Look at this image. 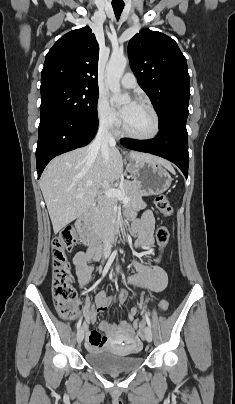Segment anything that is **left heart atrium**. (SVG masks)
Segmentation results:
<instances>
[{
  "mask_svg": "<svg viewBox=\"0 0 235 404\" xmlns=\"http://www.w3.org/2000/svg\"><path fill=\"white\" fill-rule=\"evenodd\" d=\"M126 112L125 111H121V116L122 118L125 116Z\"/></svg>",
  "mask_w": 235,
  "mask_h": 404,
  "instance_id": "obj_1",
  "label": "left heart atrium"
}]
</instances>
